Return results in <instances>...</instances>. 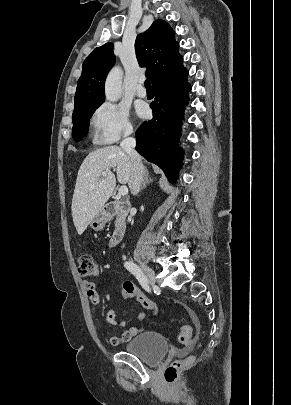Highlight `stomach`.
Wrapping results in <instances>:
<instances>
[{"mask_svg":"<svg viewBox=\"0 0 291 405\" xmlns=\"http://www.w3.org/2000/svg\"><path fill=\"white\" fill-rule=\"evenodd\" d=\"M110 217V214L102 208L91 220L90 227L95 231L102 230L105 224L110 220Z\"/></svg>","mask_w":291,"mask_h":405,"instance_id":"0dacf381","label":"stomach"}]
</instances>
